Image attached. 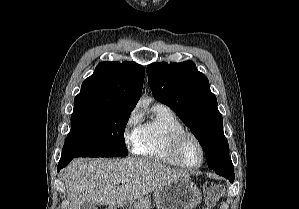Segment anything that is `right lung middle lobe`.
I'll return each instance as SVG.
<instances>
[{"mask_svg":"<svg viewBox=\"0 0 299 209\" xmlns=\"http://www.w3.org/2000/svg\"><path fill=\"white\" fill-rule=\"evenodd\" d=\"M130 114L131 111L108 108H74L61 158L128 155L124 130Z\"/></svg>","mask_w":299,"mask_h":209,"instance_id":"dd1d6c3e","label":"right lung middle lobe"}]
</instances>
